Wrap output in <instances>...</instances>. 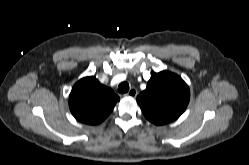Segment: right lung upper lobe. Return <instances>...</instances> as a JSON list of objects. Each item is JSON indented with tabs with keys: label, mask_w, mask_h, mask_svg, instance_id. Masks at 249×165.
Masks as SVG:
<instances>
[{
	"label": "right lung upper lobe",
	"mask_w": 249,
	"mask_h": 165,
	"mask_svg": "<svg viewBox=\"0 0 249 165\" xmlns=\"http://www.w3.org/2000/svg\"><path fill=\"white\" fill-rule=\"evenodd\" d=\"M120 98L94 76L79 80L69 96V107L80 122L96 125L108 117Z\"/></svg>",
	"instance_id": "cb5924a9"
}]
</instances>
